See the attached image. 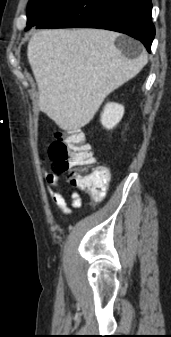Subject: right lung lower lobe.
Returning a JSON list of instances; mask_svg holds the SVG:
<instances>
[{
    "label": "right lung lower lobe",
    "mask_w": 171,
    "mask_h": 337,
    "mask_svg": "<svg viewBox=\"0 0 171 337\" xmlns=\"http://www.w3.org/2000/svg\"><path fill=\"white\" fill-rule=\"evenodd\" d=\"M151 0H68L36 28L92 27L128 34L150 52L155 35Z\"/></svg>",
    "instance_id": "obj_1"
}]
</instances>
